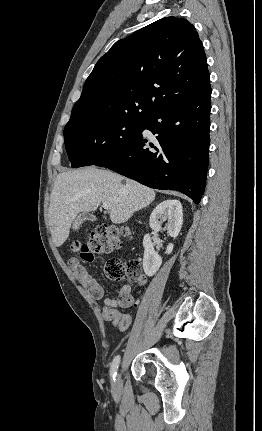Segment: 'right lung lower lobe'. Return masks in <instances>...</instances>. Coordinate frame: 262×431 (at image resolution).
<instances>
[{
    "mask_svg": "<svg viewBox=\"0 0 262 431\" xmlns=\"http://www.w3.org/2000/svg\"><path fill=\"white\" fill-rule=\"evenodd\" d=\"M210 103L209 84L194 97L148 116L127 144L94 165L151 188L180 191L198 204L209 162ZM145 129L153 139L143 134Z\"/></svg>",
    "mask_w": 262,
    "mask_h": 431,
    "instance_id": "98d812e1",
    "label": "right lung lower lobe"
}]
</instances>
